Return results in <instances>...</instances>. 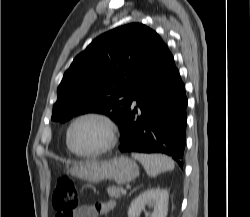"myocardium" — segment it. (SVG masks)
Listing matches in <instances>:
<instances>
[{
	"label": "myocardium",
	"instance_id": "f54148a6",
	"mask_svg": "<svg viewBox=\"0 0 250 217\" xmlns=\"http://www.w3.org/2000/svg\"><path fill=\"white\" fill-rule=\"evenodd\" d=\"M84 119H96L100 121L105 126V129H106L105 143L94 151H89V152L78 151L73 146L72 141H71V134H72V130L74 126L78 122ZM117 139H118V128H117L116 123L109 115L100 111H87V112H83L77 115L75 118L71 120L66 131V142L70 151L77 156L85 157V158L97 157V156H100L109 152L116 145Z\"/></svg>",
	"mask_w": 250,
	"mask_h": 217
}]
</instances>
